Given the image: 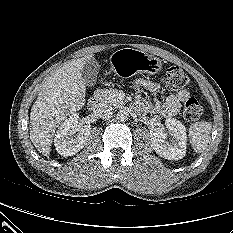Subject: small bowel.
Returning <instances> with one entry per match:
<instances>
[{"label": "small bowel", "instance_id": "1", "mask_svg": "<svg viewBox=\"0 0 233 233\" xmlns=\"http://www.w3.org/2000/svg\"><path fill=\"white\" fill-rule=\"evenodd\" d=\"M135 87L138 89H145L154 96V102L151 104L146 101H139L137 103V108L139 110L158 114L167 118L174 116L179 111L181 103L190 97V92L187 89H182L170 94L164 101H160L157 98L160 91L159 84L148 80H138L135 83Z\"/></svg>", "mask_w": 233, "mask_h": 233}]
</instances>
